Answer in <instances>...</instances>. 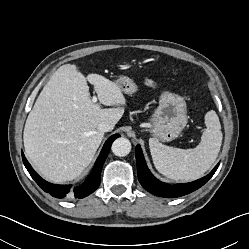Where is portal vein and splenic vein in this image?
Returning a JSON list of instances; mask_svg holds the SVG:
<instances>
[{"label":"portal vein and splenic vein","mask_w":249,"mask_h":249,"mask_svg":"<svg viewBox=\"0 0 249 249\" xmlns=\"http://www.w3.org/2000/svg\"><path fill=\"white\" fill-rule=\"evenodd\" d=\"M97 102V97L94 96L93 99H92V103H96Z\"/></svg>","instance_id":"1"}]
</instances>
